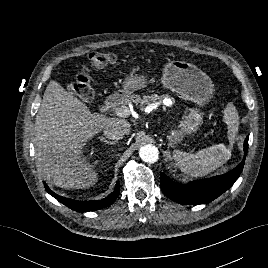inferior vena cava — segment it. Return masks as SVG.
I'll return each instance as SVG.
<instances>
[{"label":"inferior vena cava","instance_id":"obj_1","mask_svg":"<svg viewBox=\"0 0 268 268\" xmlns=\"http://www.w3.org/2000/svg\"><path fill=\"white\" fill-rule=\"evenodd\" d=\"M104 136L111 140H120L123 139L124 135L126 134L125 128L121 125L114 124L107 126L104 131Z\"/></svg>","mask_w":268,"mask_h":268}]
</instances>
